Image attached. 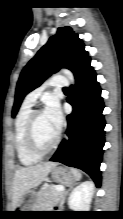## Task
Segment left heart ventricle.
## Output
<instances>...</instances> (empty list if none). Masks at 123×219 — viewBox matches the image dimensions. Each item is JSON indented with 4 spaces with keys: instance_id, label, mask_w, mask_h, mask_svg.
I'll use <instances>...</instances> for the list:
<instances>
[{
    "instance_id": "1",
    "label": "left heart ventricle",
    "mask_w": 123,
    "mask_h": 219,
    "mask_svg": "<svg viewBox=\"0 0 123 219\" xmlns=\"http://www.w3.org/2000/svg\"><path fill=\"white\" fill-rule=\"evenodd\" d=\"M58 130L53 126L45 113L38 115L35 122V136L38 144L47 148L56 138Z\"/></svg>"
}]
</instances>
